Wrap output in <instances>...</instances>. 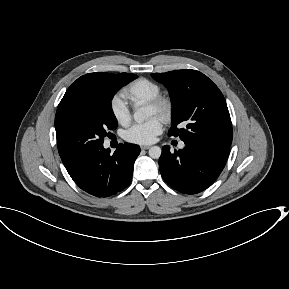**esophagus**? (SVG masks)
I'll list each match as a JSON object with an SVG mask.
<instances>
[{
    "label": "esophagus",
    "mask_w": 289,
    "mask_h": 289,
    "mask_svg": "<svg viewBox=\"0 0 289 289\" xmlns=\"http://www.w3.org/2000/svg\"><path fill=\"white\" fill-rule=\"evenodd\" d=\"M151 146H149V145H142V146H140V148L142 149V150H147V149H149Z\"/></svg>",
    "instance_id": "obj_1"
}]
</instances>
